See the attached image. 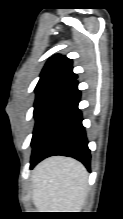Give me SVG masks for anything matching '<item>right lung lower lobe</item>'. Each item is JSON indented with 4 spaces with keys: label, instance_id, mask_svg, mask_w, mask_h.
Segmentation results:
<instances>
[{
    "label": "right lung lower lobe",
    "instance_id": "1",
    "mask_svg": "<svg viewBox=\"0 0 123 219\" xmlns=\"http://www.w3.org/2000/svg\"><path fill=\"white\" fill-rule=\"evenodd\" d=\"M77 81L69 87L49 110L41 132L33 145L30 167L52 155L73 157L90 169V150L78 109L80 91Z\"/></svg>",
    "mask_w": 123,
    "mask_h": 219
}]
</instances>
